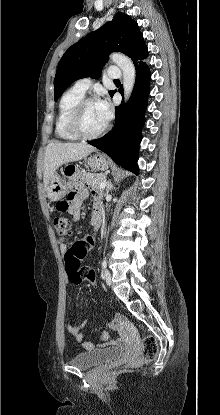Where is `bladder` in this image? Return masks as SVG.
<instances>
[{
    "mask_svg": "<svg viewBox=\"0 0 220 415\" xmlns=\"http://www.w3.org/2000/svg\"><path fill=\"white\" fill-rule=\"evenodd\" d=\"M124 353L125 349L122 347L85 351L75 355L70 360V364L79 369H90L110 361H115L121 358Z\"/></svg>",
    "mask_w": 220,
    "mask_h": 415,
    "instance_id": "1",
    "label": "bladder"
}]
</instances>
